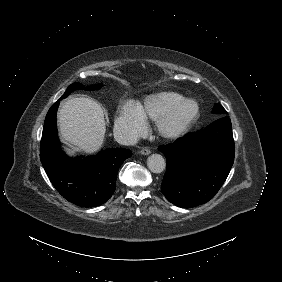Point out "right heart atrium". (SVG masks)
Listing matches in <instances>:
<instances>
[{
    "instance_id": "right-heart-atrium-1",
    "label": "right heart atrium",
    "mask_w": 282,
    "mask_h": 282,
    "mask_svg": "<svg viewBox=\"0 0 282 282\" xmlns=\"http://www.w3.org/2000/svg\"><path fill=\"white\" fill-rule=\"evenodd\" d=\"M146 129V118L138 105L127 103L115 121V130L121 137L134 140Z\"/></svg>"
}]
</instances>
